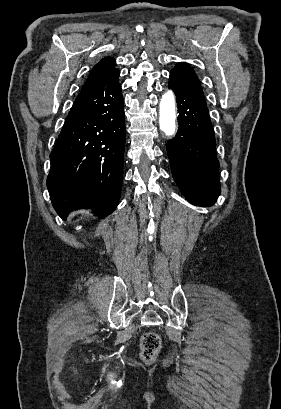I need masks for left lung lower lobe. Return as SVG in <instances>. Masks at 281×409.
Listing matches in <instances>:
<instances>
[{"label": "left lung lower lobe", "mask_w": 281, "mask_h": 409, "mask_svg": "<svg viewBox=\"0 0 281 409\" xmlns=\"http://www.w3.org/2000/svg\"><path fill=\"white\" fill-rule=\"evenodd\" d=\"M168 86L176 95L179 113L177 134L167 142L173 178L190 203L211 206L220 194L219 162L202 87L173 69Z\"/></svg>", "instance_id": "0a47b994"}]
</instances>
